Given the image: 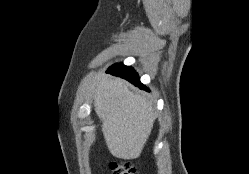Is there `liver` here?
<instances>
[{
  "label": "liver",
  "mask_w": 249,
  "mask_h": 174,
  "mask_svg": "<svg viewBox=\"0 0 249 174\" xmlns=\"http://www.w3.org/2000/svg\"><path fill=\"white\" fill-rule=\"evenodd\" d=\"M93 98L110 153L125 160L138 158L156 119L152 103L109 75L96 77Z\"/></svg>",
  "instance_id": "1"
}]
</instances>
